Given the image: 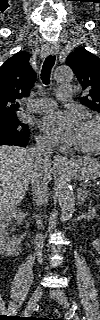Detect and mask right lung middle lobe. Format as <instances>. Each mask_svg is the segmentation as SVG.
<instances>
[{
	"mask_svg": "<svg viewBox=\"0 0 100 320\" xmlns=\"http://www.w3.org/2000/svg\"><path fill=\"white\" fill-rule=\"evenodd\" d=\"M28 135V125L22 123L17 117L0 119V138L6 136L26 137Z\"/></svg>",
	"mask_w": 100,
	"mask_h": 320,
	"instance_id": "obj_1",
	"label": "right lung middle lobe"
}]
</instances>
